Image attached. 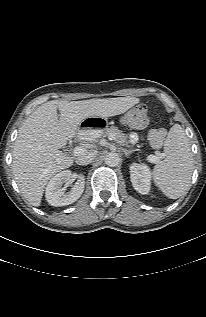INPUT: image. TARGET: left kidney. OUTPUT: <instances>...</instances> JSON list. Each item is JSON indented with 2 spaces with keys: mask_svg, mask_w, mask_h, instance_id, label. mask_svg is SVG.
Listing matches in <instances>:
<instances>
[{
  "mask_svg": "<svg viewBox=\"0 0 206 317\" xmlns=\"http://www.w3.org/2000/svg\"><path fill=\"white\" fill-rule=\"evenodd\" d=\"M130 179L134 189L141 194H148L151 185V173L145 164L133 163L130 166Z\"/></svg>",
  "mask_w": 206,
  "mask_h": 317,
  "instance_id": "5707ae66",
  "label": "left kidney"
}]
</instances>
